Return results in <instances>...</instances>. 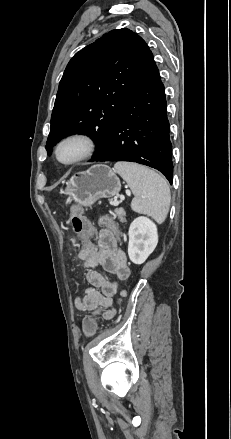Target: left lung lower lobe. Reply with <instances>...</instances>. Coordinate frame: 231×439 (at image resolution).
Masks as SVG:
<instances>
[{
  "label": "left lung lower lobe",
  "mask_w": 231,
  "mask_h": 439,
  "mask_svg": "<svg viewBox=\"0 0 231 439\" xmlns=\"http://www.w3.org/2000/svg\"><path fill=\"white\" fill-rule=\"evenodd\" d=\"M94 161H130L150 166L173 180L164 85L152 57L141 81L124 104Z\"/></svg>",
  "instance_id": "obj_1"
}]
</instances>
